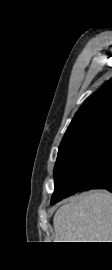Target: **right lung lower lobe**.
<instances>
[{"label": "right lung lower lobe", "mask_w": 112, "mask_h": 270, "mask_svg": "<svg viewBox=\"0 0 112 270\" xmlns=\"http://www.w3.org/2000/svg\"><path fill=\"white\" fill-rule=\"evenodd\" d=\"M81 189H106L112 192V143L103 156L83 173Z\"/></svg>", "instance_id": "obj_1"}]
</instances>
